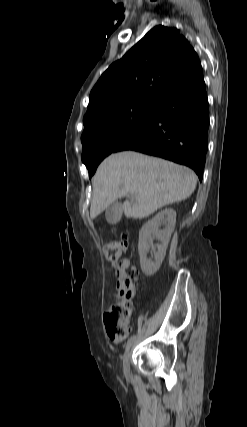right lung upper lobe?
Segmentation results:
<instances>
[{"mask_svg": "<svg viewBox=\"0 0 247 427\" xmlns=\"http://www.w3.org/2000/svg\"><path fill=\"white\" fill-rule=\"evenodd\" d=\"M200 75L198 55L180 31L156 26L102 74L90 93L84 129L129 107L157 106Z\"/></svg>", "mask_w": 247, "mask_h": 427, "instance_id": "obj_1", "label": "right lung upper lobe"}]
</instances>
